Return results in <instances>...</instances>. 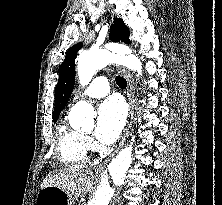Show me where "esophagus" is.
I'll list each match as a JSON object with an SVG mask.
<instances>
[{
  "instance_id": "esophagus-1",
  "label": "esophagus",
  "mask_w": 222,
  "mask_h": 205,
  "mask_svg": "<svg viewBox=\"0 0 222 205\" xmlns=\"http://www.w3.org/2000/svg\"><path fill=\"white\" fill-rule=\"evenodd\" d=\"M118 70L123 74V76L127 80L126 95H127V101H128V104H129V113H128V118H127L126 126H125V129H124V132H123V137H122L121 143H120L117 151L124 144L128 134H129V130L131 128L132 118H133V110H134V86H133V80L131 78L130 73L125 68L118 66ZM109 161H110V159H107L106 162H104L103 164H101L99 166L98 170L103 169Z\"/></svg>"
}]
</instances>
